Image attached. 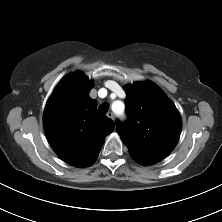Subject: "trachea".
<instances>
[{"label": "trachea", "instance_id": "3493384b", "mask_svg": "<svg viewBox=\"0 0 222 222\" xmlns=\"http://www.w3.org/2000/svg\"><path fill=\"white\" fill-rule=\"evenodd\" d=\"M109 109V105L107 103H103L99 106L98 111L100 114H106Z\"/></svg>", "mask_w": 222, "mask_h": 222}]
</instances>
